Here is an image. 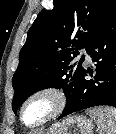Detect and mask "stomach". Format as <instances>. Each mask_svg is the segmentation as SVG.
<instances>
[{
	"label": "stomach",
	"instance_id": "obj_1",
	"mask_svg": "<svg viewBox=\"0 0 116 134\" xmlns=\"http://www.w3.org/2000/svg\"><path fill=\"white\" fill-rule=\"evenodd\" d=\"M92 122L80 115L69 116L54 123L40 134H92Z\"/></svg>",
	"mask_w": 116,
	"mask_h": 134
}]
</instances>
